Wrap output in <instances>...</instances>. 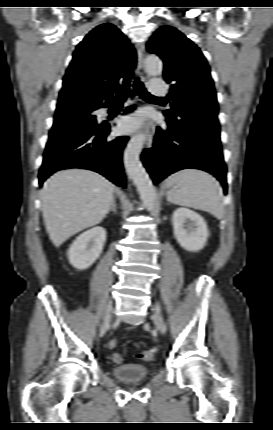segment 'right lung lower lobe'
Masks as SVG:
<instances>
[{
  "mask_svg": "<svg viewBox=\"0 0 273 430\" xmlns=\"http://www.w3.org/2000/svg\"><path fill=\"white\" fill-rule=\"evenodd\" d=\"M104 106H97V109ZM109 133L110 125L103 122L90 131L48 141L39 171V184L42 185L56 171L83 168L96 171L116 185L125 187L121 157L128 138L106 141Z\"/></svg>",
  "mask_w": 273,
  "mask_h": 430,
  "instance_id": "obj_1",
  "label": "right lung lower lobe"
}]
</instances>
